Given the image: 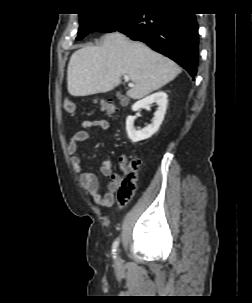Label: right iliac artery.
Instances as JSON below:
<instances>
[{"label":"right iliac artery","instance_id":"82829eb1","mask_svg":"<svg viewBox=\"0 0 252 303\" xmlns=\"http://www.w3.org/2000/svg\"><path fill=\"white\" fill-rule=\"evenodd\" d=\"M118 245H119V238H117V239L113 242V245H112V252H113L114 257H115V255H116L115 252H116V250H117Z\"/></svg>","mask_w":252,"mask_h":303}]
</instances>
